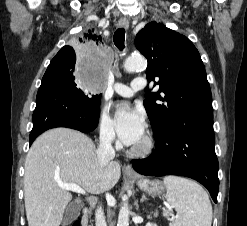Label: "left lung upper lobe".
<instances>
[{
  "label": "left lung upper lobe",
  "instance_id": "left-lung-upper-lobe-1",
  "mask_svg": "<svg viewBox=\"0 0 247 226\" xmlns=\"http://www.w3.org/2000/svg\"><path fill=\"white\" fill-rule=\"evenodd\" d=\"M135 46L148 60V81L158 79L159 91L148 92L143 102L153 131L193 108L212 106L203 62L188 38L151 22L137 34Z\"/></svg>",
  "mask_w": 247,
  "mask_h": 226
}]
</instances>
